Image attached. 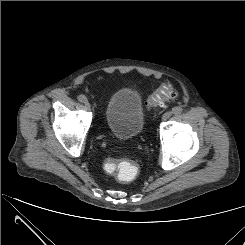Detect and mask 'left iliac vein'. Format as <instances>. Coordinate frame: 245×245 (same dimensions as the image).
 I'll return each instance as SVG.
<instances>
[{
	"mask_svg": "<svg viewBox=\"0 0 245 245\" xmlns=\"http://www.w3.org/2000/svg\"><path fill=\"white\" fill-rule=\"evenodd\" d=\"M171 116H172V112H171V111H167V112H165V113L163 114L162 120H163V121L168 120V119L171 118Z\"/></svg>",
	"mask_w": 245,
	"mask_h": 245,
	"instance_id": "left-iliac-vein-1",
	"label": "left iliac vein"
}]
</instances>
